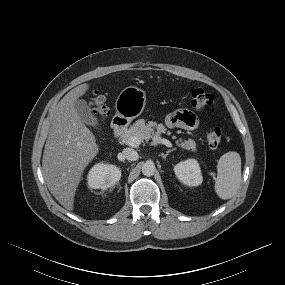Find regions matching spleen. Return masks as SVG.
<instances>
[{"label": "spleen", "instance_id": "1", "mask_svg": "<svg viewBox=\"0 0 285 285\" xmlns=\"http://www.w3.org/2000/svg\"><path fill=\"white\" fill-rule=\"evenodd\" d=\"M241 183V158L237 152L222 155L217 164L215 191L224 200L232 198Z\"/></svg>", "mask_w": 285, "mask_h": 285}]
</instances>
